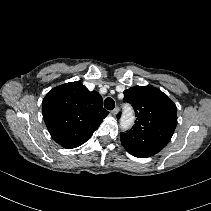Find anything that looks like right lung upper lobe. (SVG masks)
Segmentation results:
<instances>
[{"mask_svg": "<svg viewBox=\"0 0 211 211\" xmlns=\"http://www.w3.org/2000/svg\"><path fill=\"white\" fill-rule=\"evenodd\" d=\"M102 97L79 81L51 89L43 99V118L52 138L67 149L85 143L108 111Z\"/></svg>", "mask_w": 211, "mask_h": 211, "instance_id": "obj_1", "label": "right lung upper lobe"}]
</instances>
